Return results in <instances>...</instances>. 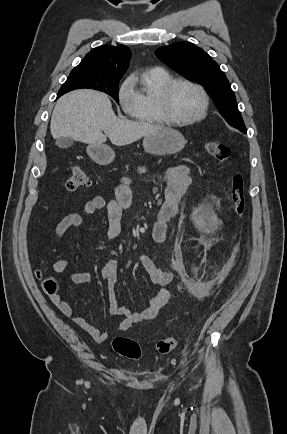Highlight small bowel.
Instances as JSON below:
<instances>
[{
	"mask_svg": "<svg viewBox=\"0 0 287 434\" xmlns=\"http://www.w3.org/2000/svg\"><path fill=\"white\" fill-rule=\"evenodd\" d=\"M160 181L165 188V196L158 212L157 221L152 230V238L156 243H164L167 241L169 236L168 223L176 216L179 202L190 186L192 176L187 166L174 165L160 176ZM131 203L132 193L130 178L124 177L112 200L107 202L104 197L95 196L84 204L81 212L64 217L56 227L57 239L59 241L62 240L69 229L81 227L87 217L100 210H105L107 214V236L110 239H118L122 236V210L131 206ZM137 260L145 270L149 281L160 288L150 299L148 307L137 313H133L127 307L121 305L113 292L109 294L110 311L115 315L123 317L119 325L120 331L127 330L135 323L152 320L170 299V292L166 286L171 281V274L159 268L154 261L145 254H139ZM67 266V260L57 259L53 263V271L55 273H62L66 270ZM117 268L118 261L111 259L101 270V277L107 281L110 288L117 282ZM90 279V271L72 272L69 274V280L73 284H84L89 282ZM51 300L63 314L71 317L72 320L96 342L104 343L109 339L107 333L100 331L85 318L78 315L69 303L59 295L51 296Z\"/></svg>",
	"mask_w": 287,
	"mask_h": 434,
	"instance_id": "c3829d8e",
	"label": "small bowel"
}]
</instances>
